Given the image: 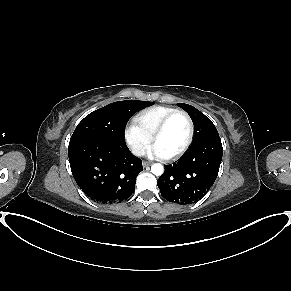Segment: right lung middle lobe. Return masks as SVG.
Segmentation results:
<instances>
[{"mask_svg": "<svg viewBox=\"0 0 291 291\" xmlns=\"http://www.w3.org/2000/svg\"><path fill=\"white\" fill-rule=\"evenodd\" d=\"M153 105L146 101H118L87 115L76 127L70 142L95 139L125 144V126L138 110Z\"/></svg>", "mask_w": 291, "mask_h": 291, "instance_id": "1", "label": "right lung middle lobe"}]
</instances>
